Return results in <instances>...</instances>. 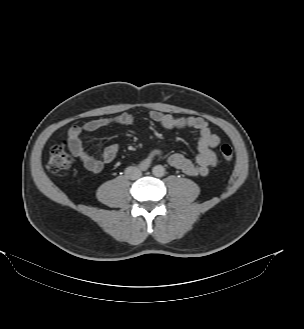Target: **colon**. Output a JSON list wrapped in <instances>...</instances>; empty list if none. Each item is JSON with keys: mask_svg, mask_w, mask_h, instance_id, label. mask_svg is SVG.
<instances>
[{"mask_svg": "<svg viewBox=\"0 0 304 329\" xmlns=\"http://www.w3.org/2000/svg\"><path fill=\"white\" fill-rule=\"evenodd\" d=\"M220 154L224 160H231L233 158V149L229 144H223L220 147ZM73 159L67 152L64 144H59L52 147L48 159L49 171L57 176H64L68 173Z\"/></svg>", "mask_w": 304, "mask_h": 329, "instance_id": "5ec220e1", "label": "colon"}]
</instances>
